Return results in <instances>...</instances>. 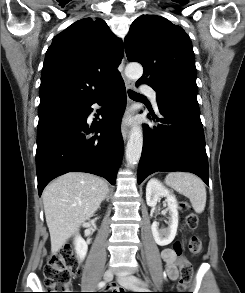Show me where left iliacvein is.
Here are the masks:
<instances>
[{"label": "left iliac vein", "instance_id": "4c4485c4", "mask_svg": "<svg viewBox=\"0 0 245 293\" xmlns=\"http://www.w3.org/2000/svg\"><path fill=\"white\" fill-rule=\"evenodd\" d=\"M117 281L121 286L129 289L142 284L141 280L134 275L119 276Z\"/></svg>", "mask_w": 245, "mask_h": 293}]
</instances>
